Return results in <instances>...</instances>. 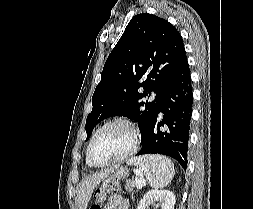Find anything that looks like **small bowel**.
<instances>
[{
  "label": "small bowel",
  "instance_id": "small-bowel-1",
  "mask_svg": "<svg viewBox=\"0 0 253 209\" xmlns=\"http://www.w3.org/2000/svg\"><path fill=\"white\" fill-rule=\"evenodd\" d=\"M104 209H129V204L119 195H113L106 203Z\"/></svg>",
  "mask_w": 253,
  "mask_h": 209
}]
</instances>
